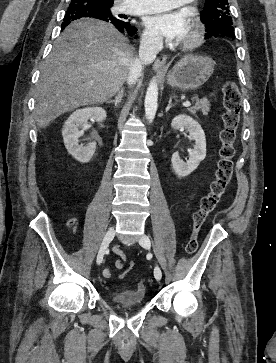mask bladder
<instances>
[{
	"mask_svg": "<svg viewBox=\"0 0 276 363\" xmlns=\"http://www.w3.org/2000/svg\"><path fill=\"white\" fill-rule=\"evenodd\" d=\"M111 300L123 307L138 306L144 303L145 296L141 287L122 289L111 294Z\"/></svg>",
	"mask_w": 276,
	"mask_h": 363,
	"instance_id": "obj_1",
	"label": "bladder"
}]
</instances>
